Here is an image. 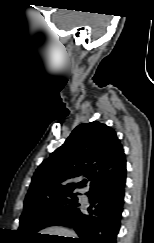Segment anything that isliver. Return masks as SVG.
<instances>
[{
    "instance_id": "1",
    "label": "liver",
    "mask_w": 154,
    "mask_h": 243,
    "mask_svg": "<svg viewBox=\"0 0 154 243\" xmlns=\"http://www.w3.org/2000/svg\"><path fill=\"white\" fill-rule=\"evenodd\" d=\"M42 234L76 238V234L72 230L59 227V226L45 228L44 230H42ZM66 239H71V238H66ZM63 241H67V240H63Z\"/></svg>"
}]
</instances>
